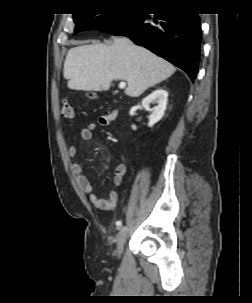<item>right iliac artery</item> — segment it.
Masks as SVG:
<instances>
[{
	"mask_svg": "<svg viewBox=\"0 0 252 303\" xmlns=\"http://www.w3.org/2000/svg\"><path fill=\"white\" fill-rule=\"evenodd\" d=\"M116 224H117L118 226H121V225H122V222H121V221H117Z\"/></svg>",
	"mask_w": 252,
	"mask_h": 303,
	"instance_id": "82829eb1",
	"label": "right iliac artery"
}]
</instances>
